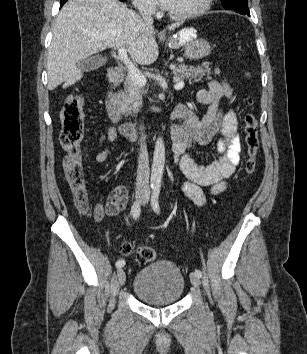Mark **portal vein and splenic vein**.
<instances>
[{"label": "portal vein and splenic vein", "instance_id": "obj_1", "mask_svg": "<svg viewBox=\"0 0 307 354\" xmlns=\"http://www.w3.org/2000/svg\"><path fill=\"white\" fill-rule=\"evenodd\" d=\"M118 59L123 62V64L128 69V75L132 79V81L140 87L146 85V78L145 76L137 69V67L129 60L127 55V50L125 47H121L118 50ZM176 84L174 85V89L181 90L184 88L185 83L179 81L178 79L175 80Z\"/></svg>", "mask_w": 307, "mask_h": 354}]
</instances>
